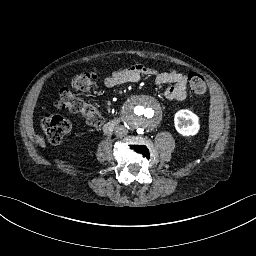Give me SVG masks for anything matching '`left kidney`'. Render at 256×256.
<instances>
[{
    "instance_id": "1",
    "label": "left kidney",
    "mask_w": 256,
    "mask_h": 256,
    "mask_svg": "<svg viewBox=\"0 0 256 256\" xmlns=\"http://www.w3.org/2000/svg\"><path fill=\"white\" fill-rule=\"evenodd\" d=\"M198 116L189 110H179L174 117L176 130L183 136L195 135L199 130Z\"/></svg>"
}]
</instances>
